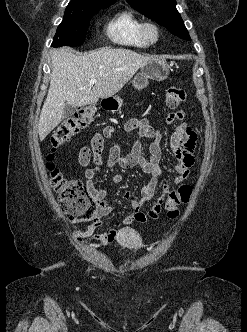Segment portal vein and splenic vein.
<instances>
[{
	"mask_svg": "<svg viewBox=\"0 0 247 332\" xmlns=\"http://www.w3.org/2000/svg\"><path fill=\"white\" fill-rule=\"evenodd\" d=\"M96 82H97L96 79H91V80L89 81V85H90V86H91V85H94Z\"/></svg>",
	"mask_w": 247,
	"mask_h": 332,
	"instance_id": "1",
	"label": "portal vein and splenic vein"
}]
</instances>
